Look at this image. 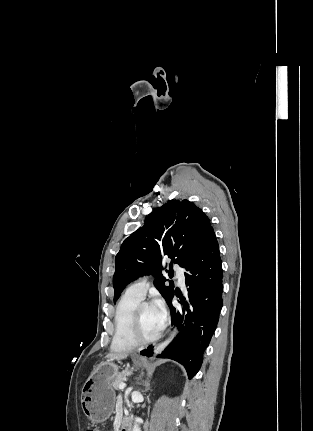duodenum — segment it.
<instances>
[{
  "label": "duodenum",
  "mask_w": 313,
  "mask_h": 431,
  "mask_svg": "<svg viewBox=\"0 0 313 431\" xmlns=\"http://www.w3.org/2000/svg\"><path fill=\"white\" fill-rule=\"evenodd\" d=\"M120 431H132V421L130 418L123 420Z\"/></svg>",
  "instance_id": "410a0bca"
}]
</instances>
